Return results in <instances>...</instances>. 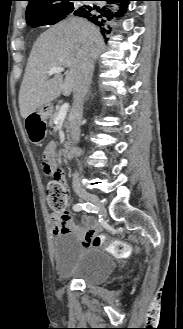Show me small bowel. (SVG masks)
<instances>
[{
  "mask_svg": "<svg viewBox=\"0 0 183 329\" xmlns=\"http://www.w3.org/2000/svg\"><path fill=\"white\" fill-rule=\"evenodd\" d=\"M47 156L51 157L57 165L58 160L55 153V145L53 143H50L44 151L43 157ZM49 221L53 227V232L55 235L62 232L74 233L84 247L95 246L93 244V237L96 236V234L101 230L99 224L89 217L82 218L81 223L84 227L77 226L69 213H66L64 217H59L51 213L49 215Z\"/></svg>",
  "mask_w": 183,
  "mask_h": 329,
  "instance_id": "1",
  "label": "small bowel"
}]
</instances>
